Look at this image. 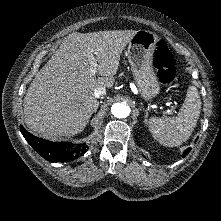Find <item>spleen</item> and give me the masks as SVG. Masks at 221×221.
Wrapping results in <instances>:
<instances>
[{"mask_svg": "<svg viewBox=\"0 0 221 221\" xmlns=\"http://www.w3.org/2000/svg\"><path fill=\"white\" fill-rule=\"evenodd\" d=\"M201 112V99L197 88L189 87L178 115L173 117H151L149 130L160 144L167 147L179 146L187 141L197 124Z\"/></svg>", "mask_w": 221, "mask_h": 221, "instance_id": "3e777b00", "label": "spleen"}]
</instances>
